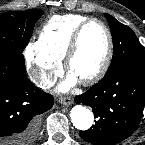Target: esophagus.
<instances>
[{
  "label": "esophagus",
  "instance_id": "1",
  "mask_svg": "<svg viewBox=\"0 0 145 145\" xmlns=\"http://www.w3.org/2000/svg\"><path fill=\"white\" fill-rule=\"evenodd\" d=\"M59 102L65 106H69L73 103V100L70 97H62Z\"/></svg>",
  "mask_w": 145,
  "mask_h": 145
}]
</instances>
